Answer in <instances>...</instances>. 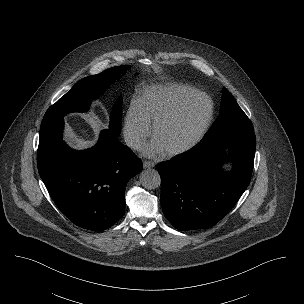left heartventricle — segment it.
Instances as JSON below:
<instances>
[{
    "label": "left heart ventricle",
    "instance_id": "left-heart-ventricle-1",
    "mask_svg": "<svg viewBox=\"0 0 304 304\" xmlns=\"http://www.w3.org/2000/svg\"><path fill=\"white\" fill-rule=\"evenodd\" d=\"M207 109L206 101H192L177 116L158 129L155 139L160 142L165 151L184 145L199 130Z\"/></svg>",
    "mask_w": 304,
    "mask_h": 304
}]
</instances>
